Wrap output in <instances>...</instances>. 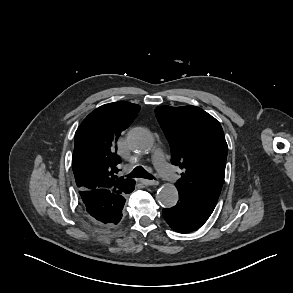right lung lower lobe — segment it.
Masks as SVG:
<instances>
[{"mask_svg":"<svg viewBox=\"0 0 293 293\" xmlns=\"http://www.w3.org/2000/svg\"><path fill=\"white\" fill-rule=\"evenodd\" d=\"M134 182L122 190H87L80 191L82 205L88 219L103 227H113L122 218V209L125 204V196L134 189Z\"/></svg>","mask_w":293,"mask_h":293,"instance_id":"right-lung-lower-lobe-1","label":"right lung lower lobe"}]
</instances>
